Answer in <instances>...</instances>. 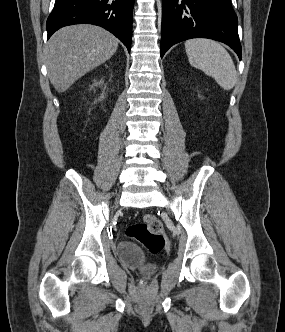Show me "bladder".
<instances>
[{
    "label": "bladder",
    "mask_w": 285,
    "mask_h": 332,
    "mask_svg": "<svg viewBox=\"0 0 285 332\" xmlns=\"http://www.w3.org/2000/svg\"><path fill=\"white\" fill-rule=\"evenodd\" d=\"M116 254L120 261L129 267H139L146 259L143 250L134 242L127 240L119 242Z\"/></svg>",
    "instance_id": "bladder-1"
}]
</instances>
